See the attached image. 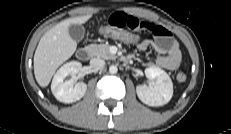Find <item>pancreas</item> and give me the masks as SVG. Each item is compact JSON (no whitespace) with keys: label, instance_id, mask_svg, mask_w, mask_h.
<instances>
[{"label":"pancreas","instance_id":"cf45deb5","mask_svg":"<svg viewBox=\"0 0 231 134\" xmlns=\"http://www.w3.org/2000/svg\"><path fill=\"white\" fill-rule=\"evenodd\" d=\"M110 45L108 44H91L88 50L92 56L100 57L103 59H115L116 56L110 52Z\"/></svg>","mask_w":231,"mask_h":134}]
</instances>
